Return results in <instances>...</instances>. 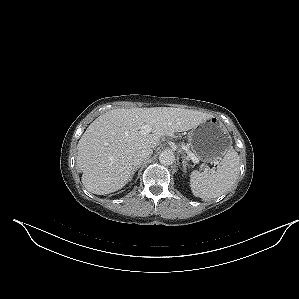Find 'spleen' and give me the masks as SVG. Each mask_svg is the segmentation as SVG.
Instances as JSON below:
<instances>
[{
	"instance_id": "3e777b00",
	"label": "spleen",
	"mask_w": 299,
	"mask_h": 299,
	"mask_svg": "<svg viewBox=\"0 0 299 299\" xmlns=\"http://www.w3.org/2000/svg\"><path fill=\"white\" fill-rule=\"evenodd\" d=\"M239 165L238 153L230 149L217 166L216 171H192L190 175L192 193L204 200L221 196L236 182Z\"/></svg>"
}]
</instances>
